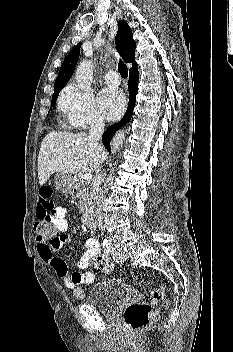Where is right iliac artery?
I'll list each match as a JSON object with an SVG mask.
<instances>
[{
	"label": "right iliac artery",
	"mask_w": 233,
	"mask_h": 352,
	"mask_svg": "<svg viewBox=\"0 0 233 352\" xmlns=\"http://www.w3.org/2000/svg\"><path fill=\"white\" fill-rule=\"evenodd\" d=\"M111 247L110 246H108V245H106L105 247H104V253L105 254H109V253H111Z\"/></svg>",
	"instance_id": "1"
}]
</instances>
